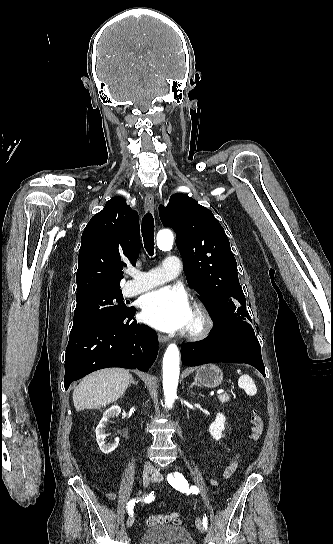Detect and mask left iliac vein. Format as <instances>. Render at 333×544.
<instances>
[{"label":"left iliac vein","instance_id":"4c4485c4","mask_svg":"<svg viewBox=\"0 0 333 544\" xmlns=\"http://www.w3.org/2000/svg\"><path fill=\"white\" fill-rule=\"evenodd\" d=\"M152 481H153V482H160V481H162V476L160 475V473H159L158 471H155V472H154ZM196 527H197V529H198L200 532L203 531V522H202V519H201L200 517H197V518H196Z\"/></svg>","mask_w":333,"mask_h":544}]
</instances>
